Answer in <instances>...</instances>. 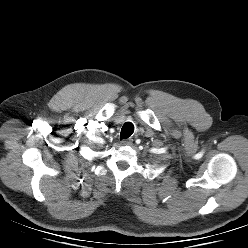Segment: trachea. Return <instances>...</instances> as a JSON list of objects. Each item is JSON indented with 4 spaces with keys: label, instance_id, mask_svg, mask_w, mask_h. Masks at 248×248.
Returning <instances> with one entry per match:
<instances>
[{
    "label": "trachea",
    "instance_id": "3493384b",
    "mask_svg": "<svg viewBox=\"0 0 248 248\" xmlns=\"http://www.w3.org/2000/svg\"><path fill=\"white\" fill-rule=\"evenodd\" d=\"M134 132V125L131 122H127L123 125L120 133V139L129 138Z\"/></svg>",
    "mask_w": 248,
    "mask_h": 248
}]
</instances>
